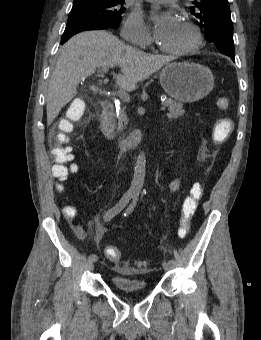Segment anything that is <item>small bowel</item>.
<instances>
[{
  "label": "small bowel",
  "mask_w": 261,
  "mask_h": 340,
  "mask_svg": "<svg viewBox=\"0 0 261 340\" xmlns=\"http://www.w3.org/2000/svg\"><path fill=\"white\" fill-rule=\"evenodd\" d=\"M180 186V180L179 179H175L170 183L169 189L170 191H176ZM66 215L70 218V219H74L76 216V211L75 209L71 208V212H66ZM73 230L75 232V234L79 237V238H85L86 237V229L85 226L82 223H76L73 225ZM104 234V229L101 226L97 227V231H96V235L95 238L96 239H100ZM119 271H123L124 269L121 267L117 268Z\"/></svg>",
  "instance_id": "small-bowel-1"
}]
</instances>
